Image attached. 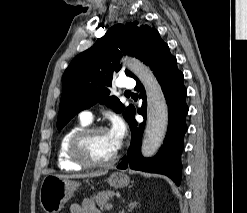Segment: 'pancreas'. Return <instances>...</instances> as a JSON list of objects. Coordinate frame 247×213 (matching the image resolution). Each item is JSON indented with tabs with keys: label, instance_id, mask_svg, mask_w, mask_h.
<instances>
[{
	"label": "pancreas",
	"instance_id": "obj_1",
	"mask_svg": "<svg viewBox=\"0 0 247 213\" xmlns=\"http://www.w3.org/2000/svg\"><path fill=\"white\" fill-rule=\"evenodd\" d=\"M114 196L113 191H101L97 194H94L91 197V200L95 202L97 206H99L101 209H106V205L108 203V200Z\"/></svg>",
	"mask_w": 247,
	"mask_h": 213
}]
</instances>
